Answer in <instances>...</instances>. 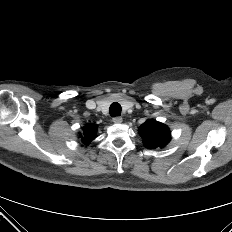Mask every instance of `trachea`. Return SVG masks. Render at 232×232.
<instances>
[{
  "label": "trachea",
  "instance_id": "1",
  "mask_svg": "<svg viewBox=\"0 0 232 232\" xmlns=\"http://www.w3.org/2000/svg\"><path fill=\"white\" fill-rule=\"evenodd\" d=\"M110 115L112 117L120 116L121 115V105L117 102L111 104L109 109Z\"/></svg>",
  "mask_w": 232,
  "mask_h": 232
}]
</instances>
